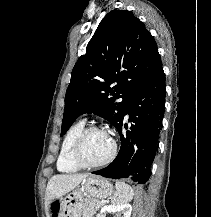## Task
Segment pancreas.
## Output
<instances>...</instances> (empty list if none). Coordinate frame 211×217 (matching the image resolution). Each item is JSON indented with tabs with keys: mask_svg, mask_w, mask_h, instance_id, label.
I'll list each match as a JSON object with an SVG mask.
<instances>
[{
	"mask_svg": "<svg viewBox=\"0 0 211 217\" xmlns=\"http://www.w3.org/2000/svg\"><path fill=\"white\" fill-rule=\"evenodd\" d=\"M103 204L97 199L86 198L83 203V217H93Z\"/></svg>",
	"mask_w": 211,
	"mask_h": 217,
	"instance_id": "1",
	"label": "pancreas"
}]
</instances>
